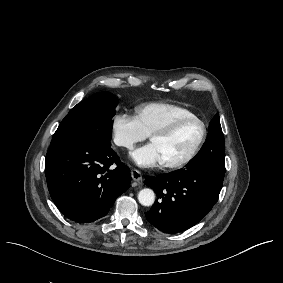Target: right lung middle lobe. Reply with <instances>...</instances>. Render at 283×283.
<instances>
[{"label":"right lung middle lobe","mask_w":283,"mask_h":283,"mask_svg":"<svg viewBox=\"0 0 283 283\" xmlns=\"http://www.w3.org/2000/svg\"><path fill=\"white\" fill-rule=\"evenodd\" d=\"M116 105V97L109 92L92 95L67 114L54 133L52 141L86 140L110 146L112 117Z\"/></svg>","instance_id":"1"}]
</instances>
